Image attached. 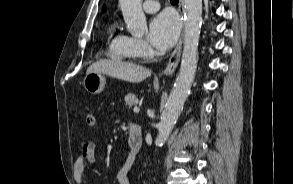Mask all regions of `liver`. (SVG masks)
<instances>
[{"mask_svg":"<svg viewBox=\"0 0 293 184\" xmlns=\"http://www.w3.org/2000/svg\"><path fill=\"white\" fill-rule=\"evenodd\" d=\"M88 73H102L124 81L139 83L151 75V71L130 62L99 60L87 69Z\"/></svg>","mask_w":293,"mask_h":184,"instance_id":"obj_1","label":"liver"}]
</instances>
